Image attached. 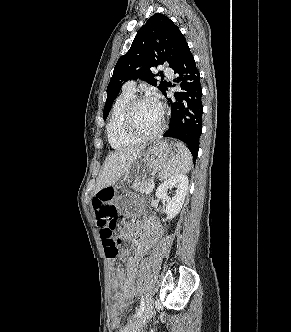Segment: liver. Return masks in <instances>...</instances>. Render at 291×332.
Wrapping results in <instances>:
<instances>
[{
	"mask_svg": "<svg viewBox=\"0 0 291 332\" xmlns=\"http://www.w3.org/2000/svg\"><path fill=\"white\" fill-rule=\"evenodd\" d=\"M143 149L145 146L124 148L108 155L98 176L95 194L114 186L130 170Z\"/></svg>",
	"mask_w": 291,
	"mask_h": 332,
	"instance_id": "1",
	"label": "liver"
}]
</instances>
